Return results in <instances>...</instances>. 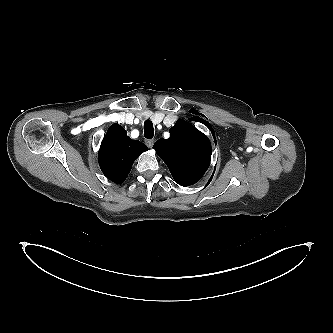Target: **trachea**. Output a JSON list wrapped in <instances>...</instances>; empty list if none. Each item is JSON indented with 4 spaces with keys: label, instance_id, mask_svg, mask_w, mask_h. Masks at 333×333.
I'll return each instance as SVG.
<instances>
[{
    "label": "trachea",
    "instance_id": "1",
    "mask_svg": "<svg viewBox=\"0 0 333 333\" xmlns=\"http://www.w3.org/2000/svg\"><path fill=\"white\" fill-rule=\"evenodd\" d=\"M144 136L147 139H151L154 136L153 123L150 120L144 122Z\"/></svg>",
    "mask_w": 333,
    "mask_h": 333
}]
</instances>
